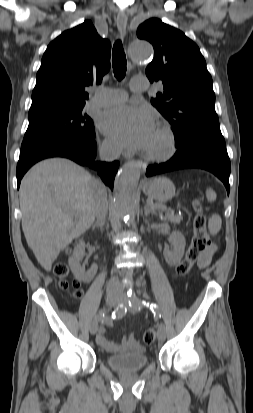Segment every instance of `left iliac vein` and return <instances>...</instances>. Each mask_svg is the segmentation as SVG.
Instances as JSON below:
<instances>
[{
    "instance_id": "left-iliac-vein-1",
    "label": "left iliac vein",
    "mask_w": 253,
    "mask_h": 413,
    "mask_svg": "<svg viewBox=\"0 0 253 413\" xmlns=\"http://www.w3.org/2000/svg\"><path fill=\"white\" fill-rule=\"evenodd\" d=\"M120 301L123 302L124 304H127V297H126V295L122 294V295L120 296ZM138 310H139V308H137V309L132 308L130 311L133 312V313H135V312H137ZM157 337H158V340H159L160 342H163V341L165 340V338H166V327H165V325H164L163 323H161V324L158 326Z\"/></svg>"
}]
</instances>
